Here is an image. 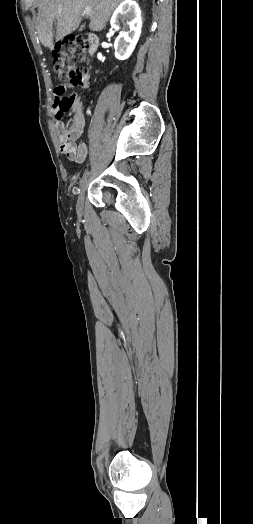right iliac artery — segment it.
Returning <instances> with one entry per match:
<instances>
[{
    "instance_id": "82829eb1",
    "label": "right iliac artery",
    "mask_w": 253,
    "mask_h": 524,
    "mask_svg": "<svg viewBox=\"0 0 253 524\" xmlns=\"http://www.w3.org/2000/svg\"><path fill=\"white\" fill-rule=\"evenodd\" d=\"M87 175H88V169H85V171H84V173H83V175H82V177L80 179V186L83 183V181L85 180V178L87 177Z\"/></svg>"
}]
</instances>
